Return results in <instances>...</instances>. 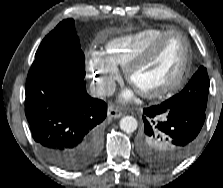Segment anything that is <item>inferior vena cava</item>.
<instances>
[{
  "label": "inferior vena cava",
  "instance_id": "1",
  "mask_svg": "<svg viewBox=\"0 0 223 188\" xmlns=\"http://www.w3.org/2000/svg\"><path fill=\"white\" fill-rule=\"evenodd\" d=\"M115 91V84L111 81L93 82L90 85V92L93 97L102 98L111 96Z\"/></svg>",
  "mask_w": 223,
  "mask_h": 188
}]
</instances>
